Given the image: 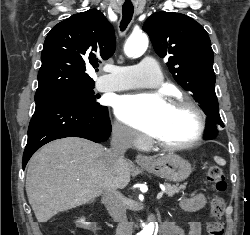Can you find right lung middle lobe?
Segmentation results:
<instances>
[{
  "instance_id": "dd1d6c3e",
  "label": "right lung middle lobe",
  "mask_w": 250,
  "mask_h": 235,
  "mask_svg": "<svg viewBox=\"0 0 250 235\" xmlns=\"http://www.w3.org/2000/svg\"><path fill=\"white\" fill-rule=\"evenodd\" d=\"M93 88H94V86L84 88V89H79V90H73V91H68V92H63V93L52 94V95L44 96L41 98H35V101H39L42 99L68 100V101L82 102V103H85L91 107H99L100 104L98 102H96V96L94 95Z\"/></svg>"
}]
</instances>
